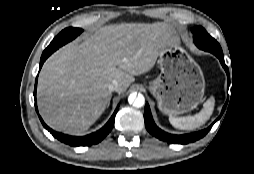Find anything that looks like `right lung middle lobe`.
<instances>
[{
    "label": "right lung middle lobe",
    "instance_id": "right-lung-middle-lobe-1",
    "mask_svg": "<svg viewBox=\"0 0 254 174\" xmlns=\"http://www.w3.org/2000/svg\"><path fill=\"white\" fill-rule=\"evenodd\" d=\"M82 32V29L80 28H73L69 27L61 31L50 43V45L44 50V52L48 51H54L56 47V43L58 44L59 41L67 39L68 41L73 40L76 38L80 33Z\"/></svg>",
    "mask_w": 254,
    "mask_h": 174
}]
</instances>
